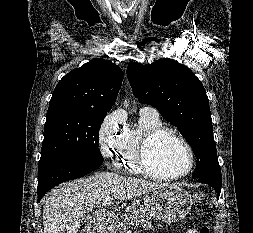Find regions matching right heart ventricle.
I'll return each mask as SVG.
<instances>
[{"instance_id":"obj_1","label":"right heart ventricle","mask_w":253,"mask_h":233,"mask_svg":"<svg viewBox=\"0 0 253 233\" xmlns=\"http://www.w3.org/2000/svg\"><path fill=\"white\" fill-rule=\"evenodd\" d=\"M162 126L159 115L140 113L137 125L125 129L114 155V166L131 174L143 175L137 161L139 145L147 133Z\"/></svg>"}]
</instances>
